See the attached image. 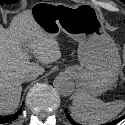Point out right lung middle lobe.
I'll return each mask as SVG.
<instances>
[{"mask_svg":"<svg viewBox=\"0 0 125 125\" xmlns=\"http://www.w3.org/2000/svg\"><path fill=\"white\" fill-rule=\"evenodd\" d=\"M1 1V0H0ZM18 0H9V2H6V3H9V4H12V3H15L17 2Z\"/></svg>","mask_w":125,"mask_h":125,"instance_id":"1","label":"right lung middle lobe"}]
</instances>
